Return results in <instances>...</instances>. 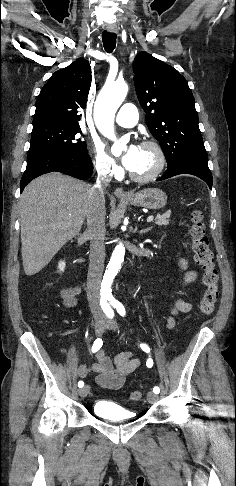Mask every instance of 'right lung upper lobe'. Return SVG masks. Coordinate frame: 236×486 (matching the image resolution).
Segmentation results:
<instances>
[{
    "mask_svg": "<svg viewBox=\"0 0 236 486\" xmlns=\"http://www.w3.org/2000/svg\"><path fill=\"white\" fill-rule=\"evenodd\" d=\"M91 86V68L77 59L56 71L43 86L36 101L33 127L44 124L79 125Z\"/></svg>",
    "mask_w": 236,
    "mask_h": 486,
    "instance_id": "1",
    "label": "right lung upper lobe"
}]
</instances>
